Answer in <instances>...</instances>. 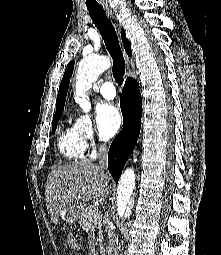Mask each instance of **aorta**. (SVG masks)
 Wrapping results in <instances>:
<instances>
[{
    "mask_svg": "<svg viewBox=\"0 0 221 255\" xmlns=\"http://www.w3.org/2000/svg\"><path fill=\"white\" fill-rule=\"evenodd\" d=\"M105 66L96 65L86 70L76 82L75 85V101L79 104L84 112H88L91 108L89 98L86 92L91 88L92 84L97 80L100 72ZM136 186V175L133 169H126L118 183L117 190V210L119 217L127 219L131 216L134 205V192Z\"/></svg>",
    "mask_w": 221,
    "mask_h": 255,
    "instance_id": "1",
    "label": "aorta"
}]
</instances>
